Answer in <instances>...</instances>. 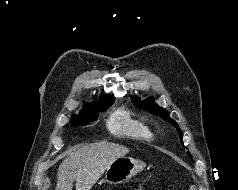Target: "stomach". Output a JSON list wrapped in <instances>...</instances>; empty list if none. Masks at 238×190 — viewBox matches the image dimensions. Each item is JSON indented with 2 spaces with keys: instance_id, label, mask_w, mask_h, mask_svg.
Wrapping results in <instances>:
<instances>
[{
  "instance_id": "obj_1",
  "label": "stomach",
  "mask_w": 238,
  "mask_h": 190,
  "mask_svg": "<svg viewBox=\"0 0 238 190\" xmlns=\"http://www.w3.org/2000/svg\"><path fill=\"white\" fill-rule=\"evenodd\" d=\"M145 164L131 157H121L115 160L105 172V180L109 184H122L127 182L143 170Z\"/></svg>"
}]
</instances>
